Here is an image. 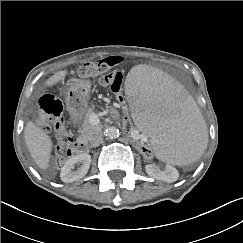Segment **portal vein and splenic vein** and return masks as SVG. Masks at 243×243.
Returning <instances> with one entry per match:
<instances>
[{
	"label": "portal vein and splenic vein",
	"mask_w": 243,
	"mask_h": 243,
	"mask_svg": "<svg viewBox=\"0 0 243 243\" xmlns=\"http://www.w3.org/2000/svg\"><path fill=\"white\" fill-rule=\"evenodd\" d=\"M92 118H93L94 121H99V119L96 115H93Z\"/></svg>",
	"instance_id": "obj_1"
}]
</instances>
